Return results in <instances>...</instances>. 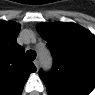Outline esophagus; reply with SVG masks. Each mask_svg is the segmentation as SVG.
Instances as JSON below:
<instances>
[{"label":"esophagus","mask_w":95,"mask_h":95,"mask_svg":"<svg viewBox=\"0 0 95 95\" xmlns=\"http://www.w3.org/2000/svg\"><path fill=\"white\" fill-rule=\"evenodd\" d=\"M34 65L36 66L37 70L39 69V61L38 60H34Z\"/></svg>","instance_id":"obj_1"}]
</instances>
